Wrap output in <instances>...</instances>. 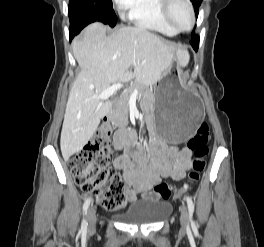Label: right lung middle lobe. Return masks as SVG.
Masks as SVG:
<instances>
[{
	"label": "right lung middle lobe",
	"instance_id": "dd1d6c3e",
	"mask_svg": "<svg viewBox=\"0 0 264 247\" xmlns=\"http://www.w3.org/2000/svg\"><path fill=\"white\" fill-rule=\"evenodd\" d=\"M70 20L86 17L88 23L100 21L114 27L117 22L112 0H69Z\"/></svg>",
	"mask_w": 264,
	"mask_h": 247
}]
</instances>
